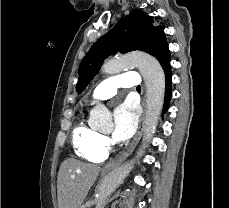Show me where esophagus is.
I'll use <instances>...</instances> for the list:
<instances>
[{
  "label": "esophagus",
  "instance_id": "obj_1",
  "mask_svg": "<svg viewBox=\"0 0 229 208\" xmlns=\"http://www.w3.org/2000/svg\"><path fill=\"white\" fill-rule=\"evenodd\" d=\"M142 104L143 105L145 104L144 101H143ZM144 127H145V110L143 112V115L140 118L138 130H137V133H136L133 141L130 143L128 148L122 153L121 156H119L117 159L107 163L102 168V170L104 172H110V171L115 170V168H117L124 160H126V158H128V156L132 153V151L135 149V147L137 146L138 142L142 138V135H143V132H144Z\"/></svg>",
  "mask_w": 229,
  "mask_h": 208
}]
</instances>
